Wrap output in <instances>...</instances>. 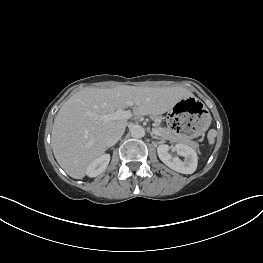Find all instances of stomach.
Masks as SVG:
<instances>
[{
  "label": "stomach",
  "mask_w": 263,
  "mask_h": 263,
  "mask_svg": "<svg viewBox=\"0 0 263 263\" xmlns=\"http://www.w3.org/2000/svg\"><path fill=\"white\" fill-rule=\"evenodd\" d=\"M213 117L209 107L190 96L175 103L167 112L168 129L177 137L195 140L211 129Z\"/></svg>",
  "instance_id": "stomach-1"
}]
</instances>
